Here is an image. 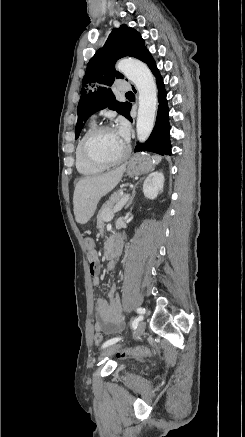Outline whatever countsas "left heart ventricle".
<instances>
[{
  "label": "left heart ventricle",
  "instance_id": "b2bd125f",
  "mask_svg": "<svg viewBox=\"0 0 245 437\" xmlns=\"http://www.w3.org/2000/svg\"><path fill=\"white\" fill-rule=\"evenodd\" d=\"M126 145L127 143L113 129L98 135L92 142L91 149L99 158L114 160L125 152Z\"/></svg>",
  "mask_w": 245,
  "mask_h": 437
}]
</instances>
